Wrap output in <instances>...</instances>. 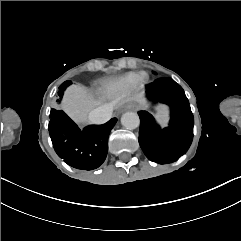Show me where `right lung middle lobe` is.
Instances as JSON below:
<instances>
[{
    "label": "right lung middle lobe",
    "instance_id": "1",
    "mask_svg": "<svg viewBox=\"0 0 241 241\" xmlns=\"http://www.w3.org/2000/svg\"><path fill=\"white\" fill-rule=\"evenodd\" d=\"M71 83H72L71 81H65L64 83H62L59 86L58 91L56 93V99H55V102H54V108L51 109V113L58 110L59 105L61 104V101H62V97H63L64 91Z\"/></svg>",
    "mask_w": 241,
    "mask_h": 241
}]
</instances>
